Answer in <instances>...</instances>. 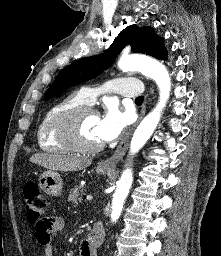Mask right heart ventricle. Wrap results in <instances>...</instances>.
Returning a JSON list of instances; mask_svg holds the SVG:
<instances>
[{
	"label": "right heart ventricle",
	"mask_w": 221,
	"mask_h": 256,
	"mask_svg": "<svg viewBox=\"0 0 221 256\" xmlns=\"http://www.w3.org/2000/svg\"><path fill=\"white\" fill-rule=\"evenodd\" d=\"M82 105H88V103L80 92H73L49 107L37 129V141L42 150L51 153L72 151L69 145L60 138L58 126L69 111Z\"/></svg>",
	"instance_id": "1"
}]
</instances>
